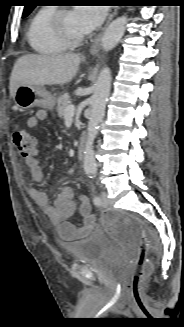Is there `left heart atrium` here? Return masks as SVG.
<instances>
[{
	"label": "left heart atrium",
	"mask_w": 184,
	"mask_h": 327,
	"mask_svg": "<svg viewBox=\"0 0 184 327\" xmlns=\"http://www.w3.org/2000/svg\"><path fill=\"white\" fill-rule=\"evenodd\" d=\"M73 14L78 20L81 29L85 33H89L100 26L105 17V9L95 5H84L76 7L73 10Z\"/></svg>",
	"instance_id": "obj_1"
}]
</instances>
